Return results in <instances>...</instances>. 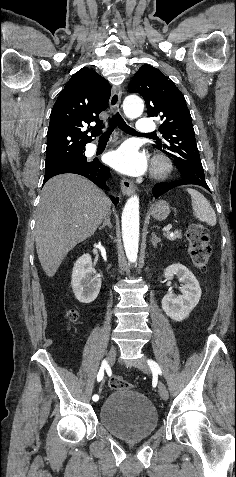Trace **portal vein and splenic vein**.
Returning a JSON list of instances; mask_svg holds the SVG:
<instances>
[{
  "mask_svg": "<svg viewBox=\"0 0 236 477\" xmlns=\"http://www.w3.org/2000/svg\"><path fill=\"white\" fill-rule=\"evenodd\" d=\"M172 229V225L169 224L163 228V232H169Z\"/></svg>",
  "mask_w": 236,
  "mask_h": 477,
  "instance_id": "obj_1",
  "label": "portal vein and splenic vein"
}]
</instances>
